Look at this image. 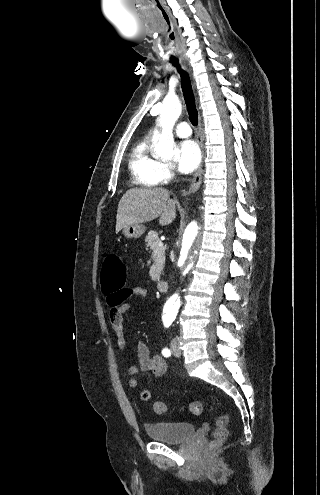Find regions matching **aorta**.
<instances>
[{
    "instance_id": "aorta-1",
    "label": "aorta",
    "mask_w": 320,
    "mask_h": 495,
    "mask_svg": "<svg viewBox=\"0 0 320 495\" xmlns=\"http://www.w3.org/2000/svg\"><path fill=\"white\" fill-rule=\"evenodd\" d=\"M152 111L158 114L157 123L162 129L155 144L154 152L157 156L171 159L175 153L173 127L182 111L180 100L177 96L169 95L161 104L154 106ZM204 230V222L196 218L183 231L181 247L176 256V264L184 271V275L191 269L199 253ZM179 307L180 297L175 294L167 301L165 310L171 316H176Z\"/></svg>"
}]
</instances>
